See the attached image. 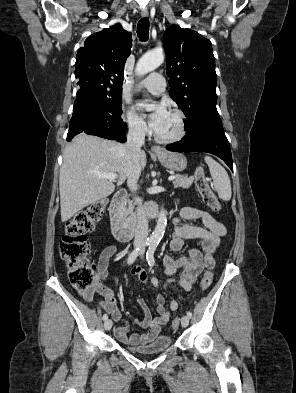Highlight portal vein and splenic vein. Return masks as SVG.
Wrapping results in <instances>:
<instances>
[{"mask_svg": "<svg viewBox=\"0 0 296 393\" xmlns=\"http://www.w3.org/2000/svg\"><path fill=\"white\" fill-rule=\"evenodd\" d=\"M96 175H97L98 177L106 178V179H109V180H114V179H117V178H118V175H117L116 173H100V172H96ZM175 179H176L175 176H170V177L168 178L169 181H173V180H175Z\"/></svg>", "mask_w": 296, "mask_h": 393, "instance_id": "18ae733b", "label": "portal vein and splenic vein"}]
</instances>
